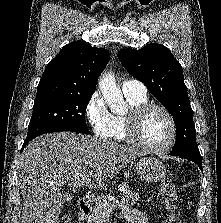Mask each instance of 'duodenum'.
I'll list each match as a JSON object with an SVG mask.
<instances>
[{
	"label": "duodenum",
	"mask_w": 221,
	"mask_h": 223,
	"mask_svg": "<svg viewBox=\"0 0 221 223\" xmlns=\"http://www.w3.org/2000/svg\"><path fill=\"white\" fill-rule=\"evenodd\" d=\"M92 210V204L89 199L82 198L78 201V218L85 220Z\"/></svg>",
	"instance_id": "obj_1"
}]
</instances>
